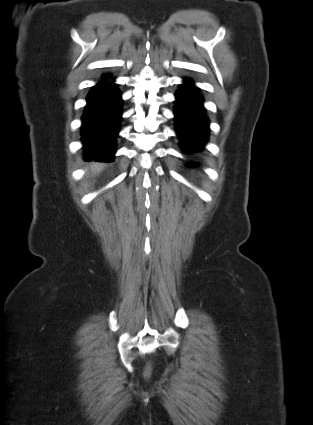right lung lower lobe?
<instances>
[{
	"instance_id": "right-lung-lower-lobe-1",
	"label": "right lung lower lobe",
	"mask_w": 313,
	"mask_h": 425,
	"mask_svg": "<svg viewBox=\"0 0 313 425\" xmlns=\"http://www.w3.org/2000/svg\"><path fill=\"white\" fill-rule=\"evenodd\" d=\"M103 75L87 97L82 117V142L85 159L111 162L114 159L115 139L122 113L121 94L114 78Z\"/></svg>"
}]
</instances>
